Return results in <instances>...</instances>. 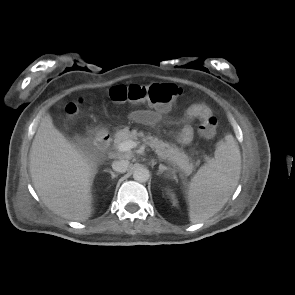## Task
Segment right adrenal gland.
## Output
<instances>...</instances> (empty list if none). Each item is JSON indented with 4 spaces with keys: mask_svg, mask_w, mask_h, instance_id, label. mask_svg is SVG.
<instances>
[{
    "mask_svg": "<svg viewBox=\"0 0 295 295\" xmlns=\"http://www.w3.org/2000/svg\"><path fill=\"white\" fill-rule=\"evenodd\" d=\"M104 171L110 173L112 179L118 176V174L114 173L111 169H105Z\"/></svg>",
    "mask_w": 295,
    "mask_h": 295,
    "instance_id": "right-adrenal-gland-1",
    "label": "right adrenal gland"
}]
</instances>
